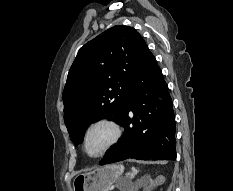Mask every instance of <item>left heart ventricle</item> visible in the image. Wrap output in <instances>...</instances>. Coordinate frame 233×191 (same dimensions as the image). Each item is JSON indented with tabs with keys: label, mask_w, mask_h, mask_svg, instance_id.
Segmentation results:
<instances>
[{
	"label": "left heart ventricle",
	"mask_w": 233,
	"mask_h": 191,
	"mask_svg": "<svg viewBox=\"0 0 233 191\" xmlns=\"http://www.w3.org/2000/svg\"><path fill=\"white\" fill-rule=\"evenodd\" d=\"M110 138V131L105 126H100L93 129L87 140V149L90 153H98L107 143Z\"/></svg>",
	"instance_id": "left-heart-ventricle-1"
}]
</instances>
